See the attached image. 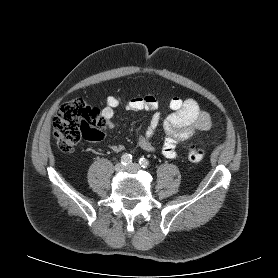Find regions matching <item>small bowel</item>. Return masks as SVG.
Listing matches in <instances>:
<instances>
[{
  "instance_id": "obj_1",
  "label": "small bowel",
  "mask_w": 278,
  "mask_h": 278,
  "mask_svg": "<svg viewBox=\"0 0 278 278\" xmlns=\"http://www.w3.org/2000/svg\"><path fill=\"white\" fill-rule=\"evenodd\" d=\"M158 105L156 97L150 94L134 97L124 105L125 109L129 111H155L151 116L147 130L138 137V146L145 151H155L151 138L161 123L166 134L162 154L171 159L177 156L178 143L212 127L209 113L202 110L198 102L192 98L183 99L177 96L171 98L169 106L172 113L164 121H161V116L156 111ZM120 107H122V103L116 97L111 96L107 99L101 114L108 129L112 128L115 110ZM110 148L114 152L124 150L122 144H113Z\"/></svg>"
}]
</instances>
